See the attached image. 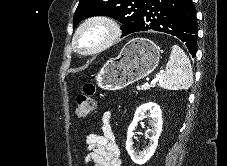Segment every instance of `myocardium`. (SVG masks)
I'll use <instances>...</instances> for the list:
<instances>
[{"instance_id": "obj_1", "label": "myocardium", "mask_w": 227, "mask_h": 166, "mask_svg": "<svg viewBox=\"0 0 227 166\" xmlns=\"http://www.w3.org/2000/svg\"><path fill=\"white\" fill-rule=\"evenodd\" d=\"M94 26H100L104 28L105 36L102 38V40L99 43H97L92 48L82 49L78 44L80 35L87 29ZM121 32L122 31H121L120 25L112 17L106 16V15L91 16L86 18L76 28L72 37V47L79 54L86 55V56L96 55L106 50L110 46H112L121 36Z\"/></svg>"}]
</instances>
